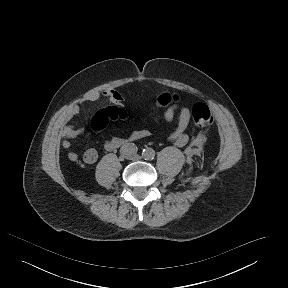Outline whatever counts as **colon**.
<instances>
[{"label":"colon","mask_w":288,"mask_h":288,"mask_svg":"<svg viewBox=\"0 0 288 288\" xmlns=\"http://www.w3.org/2000/svg\"><path fill=\"white\" fill-rule=\"evenodd\" d=\"M167 98L162 99V103L167 102ZM197 127H206L212 122L210 110L205 105H198L193 114ZM118 118L125 119L126 113H123L116 107L101 108L91 118L90 126L95 132L104 130L113 120Z\"/></svg>","instance_id":"1"}]
</instances>
